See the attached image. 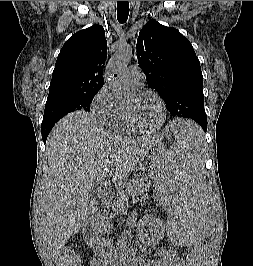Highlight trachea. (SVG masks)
I'll return each instance as SVG.
<instances>
[{
  "label": "trachea",
  "instance_id": "1",
  "mask_svg": "<svg viewBox=\"0 0 253 266\" xmlns=\"http://www.w3.org/2000/svg\"><path fill=\"white\" fill-rule=\"evenodd\" d=\"M129 15V2L117 1V19L123 24L127 21Z\"/></svg>",
  "mask_w": 253,
  "mask_h": 266
}]
</instances>
